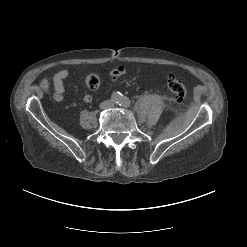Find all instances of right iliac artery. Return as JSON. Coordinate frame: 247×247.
<instances>
[{"mask_svg":"<svg viewBox=\"0 0 247 247\" xmlns=\"http://www.w3.org/2000/svg\"><path fill=\"white\" fill-rule=\"evenodd\" d=\"M112 101L115 102V103H119V101H120V96H119V95H115V96L113 97Z\"/></svg>","mask_w":247,"mask_h":247,"instance_id":"82829eb1","label":"right iliac artery"}]
</instances>
